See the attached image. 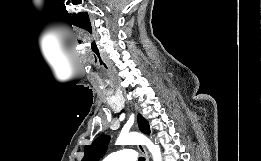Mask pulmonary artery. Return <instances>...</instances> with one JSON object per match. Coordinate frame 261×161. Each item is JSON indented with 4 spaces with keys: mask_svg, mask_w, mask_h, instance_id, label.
I'll use <instances>...</instances> for the list:
<instances>
[{
    "mask_svg": "<svg viewBox=\"0 0 261 161\" xmlns=\"http://www.w3.org/2000/svg\"><path fill=\"white\" fill-rule=\"evenodd\" d=\"M137 153L132 149H120L111 152L102 161H136Z\"/></svg>",
    "mask_w": 261,
    "mask_h": 161,
    "instance_id": "pulmonary-artery-1",
    "label": "pulmonary artery"
}]
</instances>
